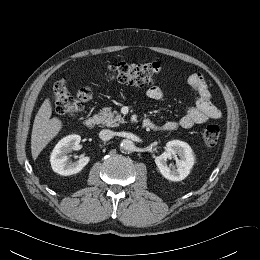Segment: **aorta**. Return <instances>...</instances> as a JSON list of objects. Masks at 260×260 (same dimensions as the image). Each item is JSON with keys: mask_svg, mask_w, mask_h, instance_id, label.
Masks as SVG:
<instances>
[{"mask_svg": "<svg viewBox=\"0 0 260 260\" xmlns=\"http://www.w3.org/2000/svg\"><path fill=\"white\" fill-rule=\"evenodd\" d=\"M120 149L123 150V151L131 152V151H134L135 144L132 140L124 139L120 143Z\"/></svg>", "mask_w": 260, "mask_h": 260, "instance_id": "1", "label": "aorta"}]
</instances>
